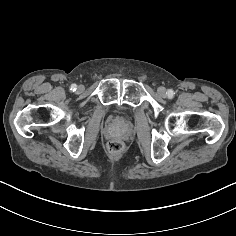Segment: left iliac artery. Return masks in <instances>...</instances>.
<instances>
[{
  "label": "left iliac artery",
  "instance_id": "obj_1",
  "mask_svg": "<svg viewBox=\"0 0 236 236\" xmlns=\"http://www.w3.org/2000/svg\"><path fill=\"white\" fill-rule=\"evenodd\" d=\"M174 94H175L174 91L171 90V89H169L168 92H167V95H168L169 98H172Z\"/></svg>",
  "mask_w": 236,
  "mask_h": 236
}]
</instances>
